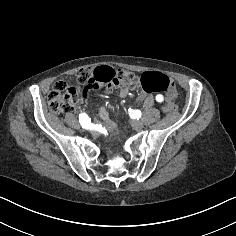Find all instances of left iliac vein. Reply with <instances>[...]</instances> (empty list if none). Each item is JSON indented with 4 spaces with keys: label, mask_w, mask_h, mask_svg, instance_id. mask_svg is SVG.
Masks as SVG:
<instances>
[{
    "label": "left iliac vein",
    "mask_w": 236,
    "mask_h": 236,
    "mask_svg": "<svg viewBox=\"0 0 236 236\" xmlns=\"http://www.w3.org/2000/svg\"><path fill=\"white\" fill-rule=\"evenodd\" d=\"M132 127H133V129H135L136 131H139V130L142 128V125H141L138 121H135V122L132 124Z\"/></svg>",
    "instance_id": "4c4485c4"
}]
</instances>
